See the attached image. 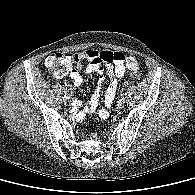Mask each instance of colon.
<instances>
[{
  "mask_svg": "<svg viewBox=\"0 0 195 195\" xmlns=\"http://www.w3.org/2000/svg\"><path fill=\"white\" fill-rule=\"evenodd\" d=\"M46 66L56 77L66 76L71 69V58L68 54L54 53L47 57ZM130 75L135 79L141 78V73L135 69L131 70Z\"/></svg>",
  "mask_w": 195,
  "mask_h": 195,
  "instance_id": "colon-1",
  "label": "colon"
}]
</instances>
